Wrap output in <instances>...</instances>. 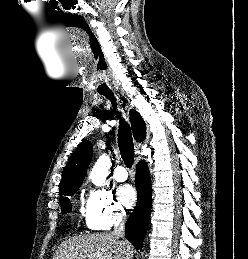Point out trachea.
Returning a JSON list of instances; mask_svg holds the SVG:
<instances>
[{"instance_id": "obj_1", "label": "trachea", "mask_w": 248, "mask_h": 259, "mask_svg": "<svg viewBox=\"0 0 248 259\" xmlns=\"http://www.w3.org/2000/svg\"><path fill=\"white\" fill-rule=\"evenodd\" d=\"M103 95L112 102L113 106L116 105L113 92L103 93ZM118 145L125 165L128 168H131L134 160V145L130 126L123 119H120V126L118 130Z\"/></svg>"}]
</instances>
